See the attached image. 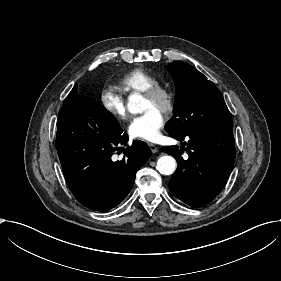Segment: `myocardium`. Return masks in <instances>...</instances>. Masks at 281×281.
Returning a JSON list of instances; mask_svg holds the SVG:
<instances>
[{
	"mask_svg": "<svg viewBox=\"0 0 281 281\" xmlns=\"http://www.w3.org/2000/svg\"><path fill=\"white\" fill-rule=\"evenodd\" d=\"M144 98L164 114L171 112L174 106L173 95L171 92L160 86H156L145 92Z\"/></svg>",
	"mask_w": 281,
	"mask_h": 281,
	"instance_id": "obj_1",
	"label": "myocardium"
}]
</instances>
